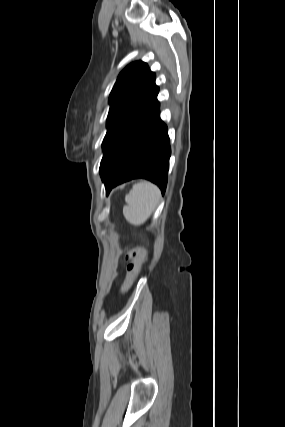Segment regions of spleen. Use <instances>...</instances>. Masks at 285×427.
Masks as SVG:
<instances>
[{
	"instance_id": "obj_1",
	"label": "spleen",
	"mask_w": 285,
	"mask_h": 427,
	"mask_svg": "<svg viewBox=\"0 0 285 427\" xmlns=\"http://www.w3.org/2000/svg\"><path fill=\"white\" fill-rule=\"evenodd\" d=\"M161 194L157 186L143 181L133 185L125 197L127 206L123 208L126 220L133 225L143 224L156 208Z\"/></svg>"
}]
</instances>
